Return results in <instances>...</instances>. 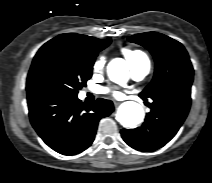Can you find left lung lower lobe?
<instances>
[{
  "label": "left lung lower lobe",
  "instance_id": "left-lung-lower-lobe-1",
  "mask_svg": "<svg viewBox=\"0 0 212 183\" xmlns=\"http://www.w3.org/2000/svg\"><path fill=\"white\" fill-rule=\"evenodd\" d=\"M190 89L170 90L152 95L145 122L135 129H122L124 141L139 151L163 147L177 133L190 109ZM144 101L147 98L139 95Z\"/></svg>",
  "mask_w": 212,
  "mask_h": 183
}]
</instances>
